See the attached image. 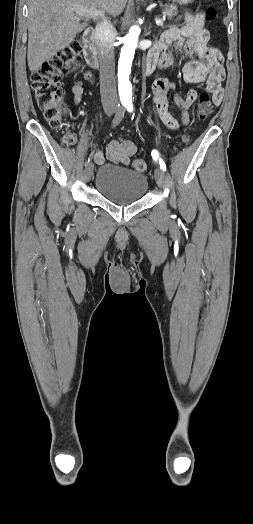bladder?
<instances>
[{"label":"bladder","mask_w":253,"mask_h":524,"mask_svg":"<svg viewBox=\"0 0 253 524\" xmlns=\"http://www.w3.org/2000/svg\"><path fill=\"white\" fill-rule=\"evenodd\" d=\"M96 190L116 205H129L141 200L147 189V177L129 168L103 165L95 177Z\"/></svg>","instance_id":"31cf9c89"}]
</instances>
